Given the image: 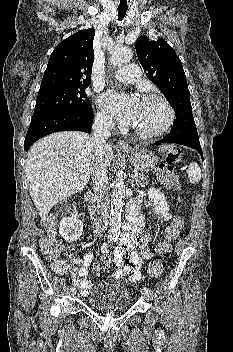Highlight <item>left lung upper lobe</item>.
Here are the masks:
<instances>
[{"instance_id": "1", "label": "left lung upper lobe", "mask_w": 233, "mask_h": 352, "mask_svg": "<svg viewBox=\"0 0 233 352\" xmlns=\"http://www.w3.org/2000/svg\"><path fill=\"white\" fill-rule=\"evenodd\" d=\"M136 52L147 77L175 110L176 121L170 134L178 137L197 134L186 76L176 52L164 39L154 41L147 36L137 40Z\"/></svg>"}]
</instances>
